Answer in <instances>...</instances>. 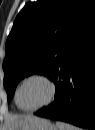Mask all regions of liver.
<instances>
[{
	"mask_svg": "<svg viewBox=\"0 0 95 130\" xmlns=\"http://www.w3.org/2000/svg\"><path fill=\"white\" fill-rule=\"evenodd\" d=\"M33 115H19V116H11L7 121L8 130H17L22 125L26 124L29 120L33 119Z\"/></svg>",
	"mask_w": 95,
	"mask_h": 130,
	"instance_id": "obj_1",
	"label": "liver"
}]
</instances>
